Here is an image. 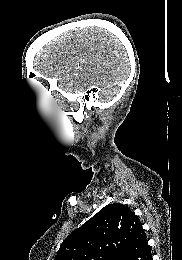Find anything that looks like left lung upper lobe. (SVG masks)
<instances>
[{
	"mask_svg": "<svg viewBox=\"0 0 182 260\" xmlns=\"http://www.w3.org/2000/svg\"><path fill=\"white\" fill-rule=\"evenodd\" d=\"M140 227L126 205H106L63 241L55 260H121Z\"/></svg>",
	"mask_w": 182,
	"mask_h": 260,
	"instance_id": "obj_1",
	"label": "left lung upper lobe"
}]
</instances>
